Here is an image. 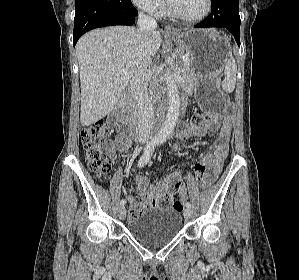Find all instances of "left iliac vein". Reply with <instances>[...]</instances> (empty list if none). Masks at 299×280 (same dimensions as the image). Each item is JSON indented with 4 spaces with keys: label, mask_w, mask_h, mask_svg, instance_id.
I'll return each instance as SVG.
<instances>
[{
    "label": "left iliac vein",
    "mask_w": 299,
    "mask_h": 280,
    "mask_svg": "<svg viewBox=\"0 0 299 280\" xmlns=\"http://www.w3.org/2000/svg\"><path fill=\"white\" fill-rule=\"evenodd\" d=\"M191 214H192L191 209L186 207V209L184 210V217L186 219H189L191 217Z\"/></svg>",
    "instance_id": "4c4485c4"
}]
</instances>
